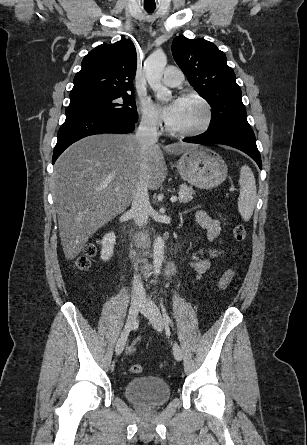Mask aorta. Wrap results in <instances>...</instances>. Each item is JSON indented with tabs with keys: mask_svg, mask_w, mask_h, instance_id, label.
I'll return each mask as SVG.
<instances>
[{
	"mask_svg": "<svg viewBox=\"0 0 307 445\" xmlns=\"http://www.w3.org/2000/svg\"><path fill=\"white\" fill-rule=\"evenodd\" d=\"M166 64L167 56L162 48L151 52L144 62V70L148 84L152 90H154L158 100H169V96H171V90L161 84V78ZM164 251L165 243L162 237H156L153 245V275H155V279H158L157 275L161 271L165 255Z\"/></svg>",
	"mask_w": 307,
	"mask_h": 445,
	"instance_id": "1",
	"label": "aorta"
}]
</instances>
